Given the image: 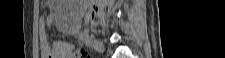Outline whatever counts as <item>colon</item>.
<instances>
[{
    "label": "colon",
    "mask_w": 225,
    "mask_h": 58,
    "mask_svg": "<svg viewBox=\"0 0 225 58\" xmlns=\"http://www.w3.org/2000/svg\"><path fill=\"white\" fill-rule=\"evenodd\" d=\"M76 58H90V52L86 49H78L76 54H75Z\"/></svg>",
    "instance_id": "colon-1"
}]
</instances>
